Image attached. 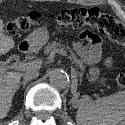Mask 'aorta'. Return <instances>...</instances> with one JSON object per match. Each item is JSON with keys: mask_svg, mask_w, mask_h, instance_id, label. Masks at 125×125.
Returning <instances> with one entry per match:
<instances>
[{"mask_svg": "<svg viewBox=\"0 0 125 125\" xmlns=\"http://www.w3.org/2000/svg\"><path fill=\"white\" fill-rule=\"evenodd\" d=\"M49 81L57 89H65L70 84L68 75L60 69H54L50 73Z\"/></svg>", "mask_w": 125, "mask_h": 125, "instance_id": "aorta-1", "label": "aorta"}]
</instances>
